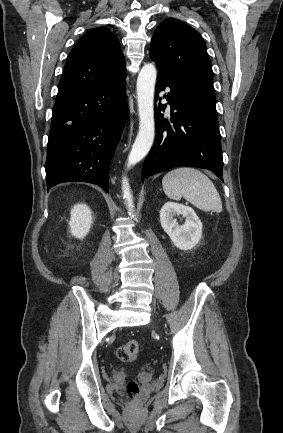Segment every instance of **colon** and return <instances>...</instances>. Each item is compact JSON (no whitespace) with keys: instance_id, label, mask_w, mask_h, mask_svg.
<instances>
[{"instance_id":"colon-1","label":"colon","mask_w":283,"mask_h":433,"mask_svg":"<svg viewBox=\"0 0 283 433\" xmlns=\"http://www.w3.org/2000/svg\"><path fill=\"white\" fill-rule=\"evenodd\" d=\"M140 352V344L136 340L123 343L117 350L118 357L124 362L135 360ZM140 396L139 386L135 381H130L126 385L125 398L130 402H135Z\"/></svg>"}]
</instances>
